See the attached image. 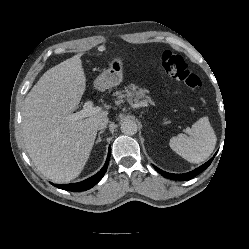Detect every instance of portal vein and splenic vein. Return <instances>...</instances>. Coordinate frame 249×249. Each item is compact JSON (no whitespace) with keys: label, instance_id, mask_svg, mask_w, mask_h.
I'll use <instances>...</instances> for the list:
<instances>
[{"label":"portal vein and splenic vein","instance_id":"18ae733b","mask_svg":"<svg viewBox=\"0 0 249 249\" xmlns=\"http://www.w3.org/2000/svg\"><path fill=\"white\" fill-rule=\"evenodd\" d=\"M100 111H101L100 107H98V106L94 107L92 101H87L84 103L83 109L81 111L71 114L68 118L70 120H73V121L80 120V119H83L85 117H89V116H92L94 114H97Z\"/></svg>","mask_w":249,"mask_h":249}]
</instances>
